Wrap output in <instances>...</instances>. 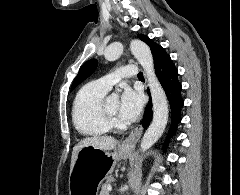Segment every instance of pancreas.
I'll list each match as a JSON object with an SVG mask.
<instances>
[{
    "instance_id": "obj_1",
    "label": "pancreas",
    "mask_w": 240,
    "mask_h": 195,
    "mask_svg": "<svg viewBox=\"0 0 240 195\" xmlns=\"http://www.w3.org/2000/svg\"><path fill=\"white\" fill-rule=\"evenodd\" d=\"M111 181H115V179H108L106 183H103L100 191V195H110L109 189H107L108 185H111Z\"/></svg>"
}]
</instances>
